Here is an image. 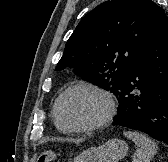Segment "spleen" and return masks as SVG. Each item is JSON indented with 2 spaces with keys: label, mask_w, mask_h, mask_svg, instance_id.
<instances>
[{
  "label": "spleen",
  "mask_w": 168,
  "mask_h": 162,
  "mask_svg": "<svg viewBox=\"0 0 168 162\" xmlns=\"http://www.w3.org/2000/svg\"><path fill=\"white\" fill-rule=\"evenodd\" d=\"M123 134L138 147L132 162H150L157 153V145L146 135L136 131H125Z\"/></svg>",
  "instance_id": "spleen-1"
}]
</instances>
